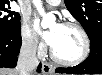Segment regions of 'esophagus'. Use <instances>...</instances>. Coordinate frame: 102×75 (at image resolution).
I'll return each mask as SVG.
<instances>
[{"instance_id":"1","label":"esophagus","mask_w":102,"mask_h":75,"mask_svg":"<svg viewBox=\"0 0 102 75\" xmlns=\"http://www.w3.org/2000/svg\"><path fill=\"white\" fill-rule=\"evenodd\" d=\"M54 67L48 63H43L42 64V72L44 74H50L52 75L54 73Z\"/></svg>"}]
</instances>
